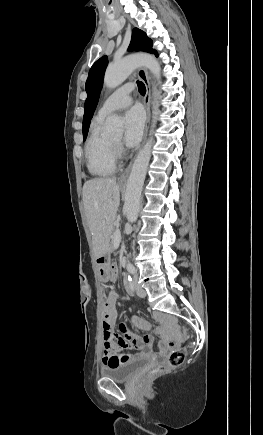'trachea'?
Wrapping results in <instances>:
<instances>
[{
    "label": "trachea",
    "mask_w": 263,
    "mask_h": 435,
    "mask_svg": "<svg viewBox=\"0 0 263 435\" xmlns=\"http://www.w3.org/2000/svg\"><path fill=\"white\" fill-rule=\"evenodd\" d=\"M137 85H138L139 93L141 95H145V93H146V87H145L144 83L141 82V81H137Z\"/></svg>",
    "instance_id": "1"
}]
</instances>
